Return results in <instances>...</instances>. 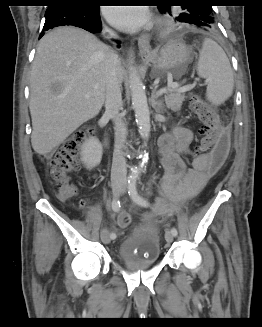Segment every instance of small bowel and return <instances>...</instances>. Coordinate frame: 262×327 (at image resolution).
Returning a JSON list of instances; mask_svg holds the SVG:
<instances>
[{"label": "small bowel", "instance_id": "c3829d8e", "mask_svg": "<svg viewBox=\"0 0 262 327\" xmlns=\"http://www.w3.org/2000/svg\"><path fill=\"white\" fill-rule=\"evenodd\" d=\"M193 132L184 126H177L173 132L164 133L159 138L164 174L158 189L156 212H170L173 204L193 198L204 186L213 172H208V155L196 156L191 166L185 162L190 156ZM81 208L86 207L83 199L79 200Z\"/></svg>", "mask_w": 262, "mask_h": 327}]
</instances>
